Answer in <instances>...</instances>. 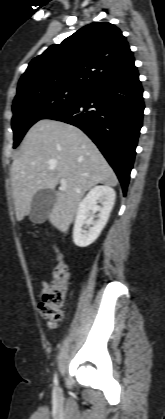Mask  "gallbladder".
Wrapping results in <instances>:
<instances>
[{
	"instance_id": "bac80fb5",
	"label": "gallbladder",
	"mask_w": 165,
	"mask_h": 419,
	"mask_svg": "<svg viewBox=\"0 0 165 419\" xmlns=\"http://www.w3.org/2000/svg\"><path fill=\"white\" fill-rule=\"evenodd\" d=\"M56 201L52 189L39 190L32 198L29 218L33 223L41 224L48 218Z\"/></svg>"
}]
</instances>
